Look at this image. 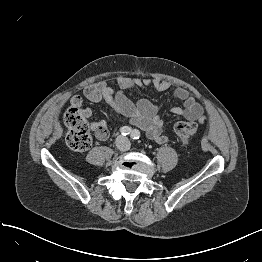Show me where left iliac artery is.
Returning a JSON list of instances; mask_svg holds the SVG:
<instances>
[{
  "instance_id": "obj_1",
  "label": "left iliac artery",
  "mask_w": 262,
  "mask_h": 262,
  "mask_svg": "<svg viewBox=\"0 0 262 262\" xmlns=\"http://www.w3.org/2000/svg\"><path fill=\"white\" fill-rule=\"evenodd\" d=\"M131 138L134 139V140H138V139L140 138V132H139V130L134 129V130L131 132Z\"/></svg>"
}]
</instances>
